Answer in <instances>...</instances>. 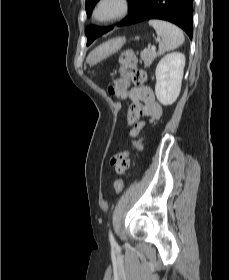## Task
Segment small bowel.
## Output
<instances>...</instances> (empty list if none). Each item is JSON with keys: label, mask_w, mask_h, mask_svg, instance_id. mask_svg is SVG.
Returning <instances> with one entry per match:
<instances>
[{"label": "small bowel", "mask_w": 229, "mask_h": 280, "mask_svg": "<svg viewBox=\"0 0 229 280\" xmlns=\"http://www.w3.org/2000/svg\"><path fill=\"white\" fill-rule=\"evenodd\" d=\"M117 83L109 88V93L121 100L129 98L132 101L129 112V118L131 120H137L140 117H149L153 121L161 117L162 108L155 100L152 90L147 85L139 84L129 89V83L127 86L118 90ZM138 127L143 128L144 123L140 122Z\"/></svg>", "instance_id": "obj_1"}]
</instances>
